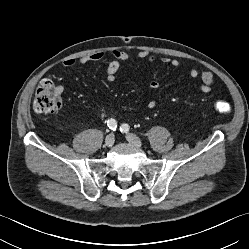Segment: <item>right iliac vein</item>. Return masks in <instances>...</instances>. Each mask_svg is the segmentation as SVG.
<instances>
[{
	"instance_id": "1",
	"label": "right iliac vein",
	"mask_w": 249,
	"mask_h": 249,
	"mask_svg": "<svg viewBox=\"0 0 249 249\" xmlns=\"http://www.w3.org/2000/svg\"><path fill=\"white\" fill-rule=\"evenodd\" d=\"M115 142V135L113 133L109 134L105 138V146L111 147Z\"/></svg>"
}]
</instances>
